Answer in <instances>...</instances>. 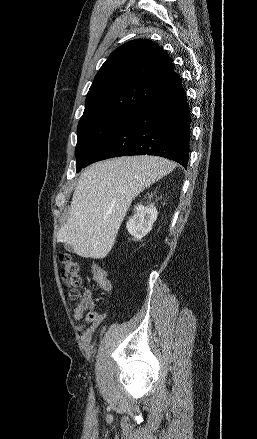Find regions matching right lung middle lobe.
<instances>
[{"instance_id":"dd1d6c3e","label":"right lung middle lobe","mask_w":257,"mask_h":439,"mask_svg":"<svg viewBox=\"0 0 257 439\" xmlns=\"http://www.w3.org/2000/svg\"><path fill=\"white\" fill-rule=\"evenodd\" d=\"M128 116L120 114H93L82 116L78 123L76 172H79L89 157L106 137Z\"/></svg>"}]
</instances>
